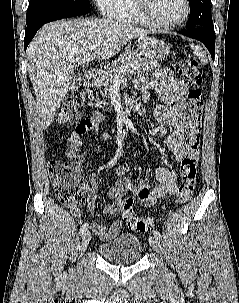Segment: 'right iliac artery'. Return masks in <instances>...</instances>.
<instances>
[{
    "label": "right iliac artery",
    "mask_w": 239,
    "mask_h": 303,
    "mask_svg": "<svg viewBox=\"0 0 239 303\" xmlns=\"http://www.w3.org/2000/svg\"><path fill=\"white\" fill-rule=\"evenodd\" d=\"M87 229H88V223H85V224H83L82 226H81V228H80V234L81 235H83L86 231H87Z\"/></svg>",
    "instance_id": "82829eb1"
}]
</instances>
